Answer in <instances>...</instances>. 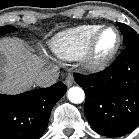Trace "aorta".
Listing matches in <instances>:
<instances>
[{
	"label": "aorta",
	"mask_w": 139,
	"mask_h": 139,
	"mask_svg": "<svg viewBox=\"0 0 139 139\" xmlns=\"http://www.w3.org/2000/svg\"><path fill=\"white\" fill-rule=\"evenodd\" d=\"M67 97L70 102L79 104L85 100V93L81 87H71L67 92Z\"/></svg>",
	"instance_id": "obj_1"
}]
</instances>
